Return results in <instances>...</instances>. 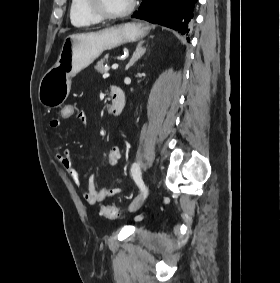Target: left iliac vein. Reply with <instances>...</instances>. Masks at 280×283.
Wrapping results in <instances>:
<instances>
[{
  "instance_id": "4c4485c4",
  "label": "left iliac vein",
  "mask_w": 280,
  "mask_h": 283,
  "mask_svg": "<svg viewBox=\"0 0 280 283\" xmlns=\"http://www.w3.org/2000/svg\"><path fill=\"white\" fill-rule=\"evenodd\" d=\"M149 190V186L148 184H146V191L148 192ZM144 198H145V194L142 191L141 194H139L129 205V211L130 212H135L136 210H138L141 205L144 202Z\"/></svg>"
}]
</instances>
